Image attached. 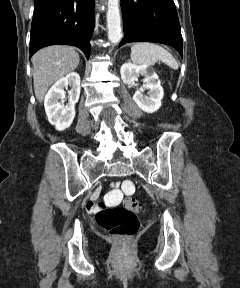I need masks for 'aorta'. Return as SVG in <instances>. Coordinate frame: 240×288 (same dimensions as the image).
<instances>
[{"label": "aorta", "mask_w": 240, "mask_h": 288, "mask_svg": "<svg viewBox=\"0 0 240 288\" xmlns=\"http://www.w3.org/2000/svg\"><path fill=\"white\" fill-rule=\"evenodd\" d=\"M107 29L109 41L117 44L122 39L119 0H108Z\"/></svg>", "instance_id": "762f6f07"}]
</instances>
